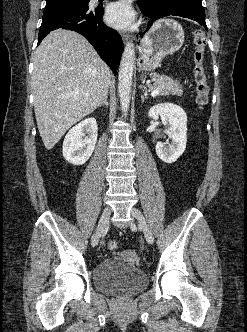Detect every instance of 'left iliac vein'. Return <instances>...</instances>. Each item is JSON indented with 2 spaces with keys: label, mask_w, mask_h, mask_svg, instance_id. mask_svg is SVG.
<instances>
[{
  "label": "left iliac vein",
  "mask_w": 247,
  "mask_h": 332,
  "mask_svg": "<svg viewBox=\"0 0 247 332\" xmlns=\"http://www.w3.org/2000/svg\"><path fill=\"white\" fill-rule=\"evenodd\" d=\"M131 215L137 219V221L141 224L144 232V236L149 244H153L154 236L150 228L148 227L145 217L143 216L142 212L137 208L131 209Z\"/></svg>",
  "instance_id": "obj_1"
}]
</instances>
